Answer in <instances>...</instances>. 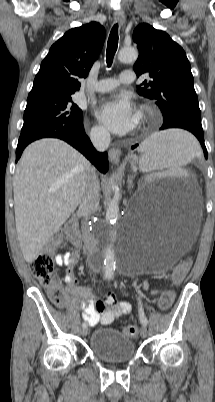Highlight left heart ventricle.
I'll return each mask as SVG.
<instances>
[{
  "instance_id": "1",
  "label": "left heart ventricle",
  "mask_w": 215,
  "mask_h": 402,
  "mask_svg": "<svg viewBox=\"0 0 215 402\" xmlns=\"http://www.w3.org/2000/svg\"><path fill=\"white\" fill-rule=\"evenodd\" d=\"M140 122V119H139V117H138V123ZM138 125V124H137Z\"/></svg>"
}]
</instances>
